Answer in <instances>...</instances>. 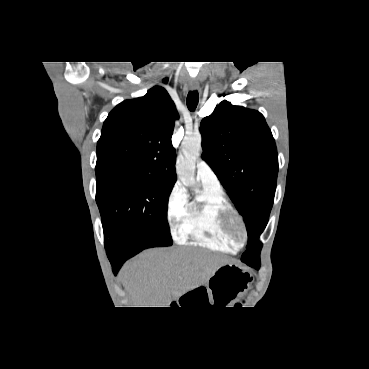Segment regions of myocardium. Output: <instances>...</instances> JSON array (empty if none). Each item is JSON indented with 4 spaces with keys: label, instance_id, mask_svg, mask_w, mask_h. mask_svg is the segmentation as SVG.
Instances as JSON below:
<instances>
[{
    "label": "myocardium",
    "instance_id": "f54148a6",
    "mask_svg": "<svg viewBox=\"0 0 369 369\" xmlns=\"http://www.w3.org/2000/svg\"><path fill=\"white\" fill-rule=\"evenodd\" d=\"M222 223L226 233L236 244L243 245L247 242V229L240 215L229 210L223 215Z\"/></svg>",
    "mask_w": 369,
    "mask_h": 369
}]
</instances>
